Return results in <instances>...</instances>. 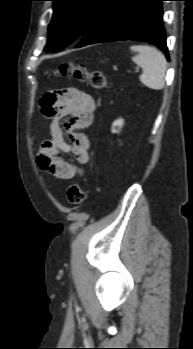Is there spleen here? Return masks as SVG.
Instances as JSON below:
<instances>
[{
  "label": "spleen",
  "mask_w": 193,
  "mask_h": 349,
  "mask_svg": "<svg viewBox=\"0 0 193 349\" xmlns=\"http://www.w3.org/2000/svg\"><path fill=\"white\" fill-rule=\"evenodd\" d=\"M130 49L137 53L132 60L143 69L139 77L141 83L153 90L163 89L167 67L165 56L148 45H133Z\"/></svg>",
  "instance_id": "1"
}]
</instances>
